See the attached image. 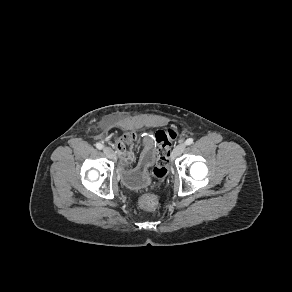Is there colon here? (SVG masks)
I'll return each mask as SVG.
<instances>
[{"instance_id":"1","label":"colon","mask_w":292,"mask_h":292,"mask_svg":"<svg viewBox=\"0 0 292 292\" xmlns=\"http://www.w3.org/2000/svg\"><path fill=\"white\" fill-rule=\"evenodd\" d=\"M178 132L174 128L159 130L155 134L158 144V154L156 165L152 171L153 176L158 180H163L168 174L169 157L171 154V145L177 139ZM135 139L134 133L125 134L121 140L129 143ZM159 200L154 194H144L139 198L141 208L152 211L158 207Z\"/></svg>"}]
</instances>
